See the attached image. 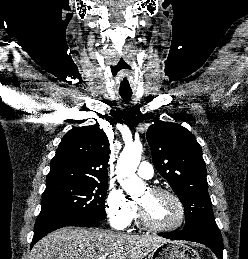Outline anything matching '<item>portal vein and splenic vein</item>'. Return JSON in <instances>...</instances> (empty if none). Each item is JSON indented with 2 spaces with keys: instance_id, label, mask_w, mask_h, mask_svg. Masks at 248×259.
<instances>
[{
  "instance_id": "portal-vein-and-splenic-vein-1",
  "label": "portal vein and splenic vein",
  "mask_w": 248,
  "mask_h": 259,
  "mask_svg": "<svg viewBox=\"0 0 248 259\" xmlns=\"http://www.w3.org/2000/svg\"><path fill=\"white\" fill-rule=\"evenodd\" d=\"M99 259H106V255L99 257Z\"/></svg>"
}]
</instances>
